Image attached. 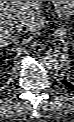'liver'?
I'll return each instance as SVG.
<instances>
[{"label":"liver","instance_id":"liver-1","mask_svg":"<svg viewBox=\"0 0 74 122\" xmlns=\"http://www.w3.org/2000/svg\"><path fill=\"white\" fill-rule=\"evenodd\" d=\"M43 1H0V46H7L15 39L14 21L26 23L28 32L34 31L42 23Z\"/></svg>","mask_w":74,"mask_h":122}]
</instances>
